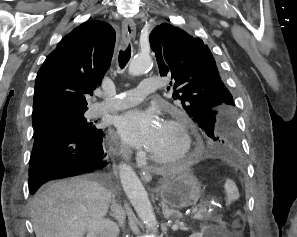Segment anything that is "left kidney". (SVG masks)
Here are the masks:
<instances>
[{"mask_svg": "<svg viewBox=\"0 0 297 237\" xmlns=\"http://www.w3.org/2000/svg\"><path fill=\"white\" fill-rule=\"evenodd\" d=\"M189 237H213V228L211 226H201V231L193 233Z\"/></svg>", "mask_w": 297, "mask_h": 237, "instance_id": "left-kidney-1", "label": "left kidney"}]
</instances>
